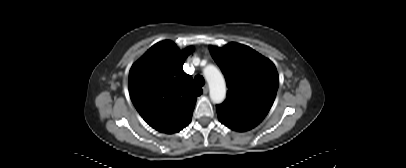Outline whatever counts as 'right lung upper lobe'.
Here are the masks:
<instances>
[{"instance_id":"obj_1","label":"right lung upper lobe","mask_w":406,"mask_h":168,"mask_svg":"<svg viewBox=\"0 0 406 168\" xmlns=\"http://www.w3.org/2000/svg\"><path fill=\"white\" fill-rule=\"evenodd\" d=\"M193 51H180L172 41L152 46L129 73L131 100L142 118L154 129L175 133L191 119L202 89L183 71L186 57Z\"/></svg>"}]
</instances>
